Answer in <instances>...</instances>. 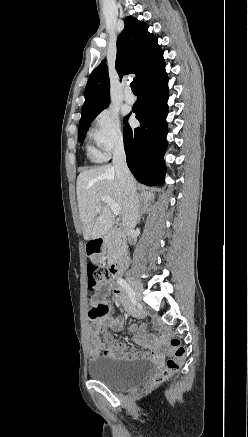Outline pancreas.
I'll return each mask as SVG.
<instances>
[{"mask_svg":"<svg viewBox=\"0 0 248 437\" xmlns=\"http://www.w3.org/2000/svg\"><path fill=\"white\" fill-rule=\"evenodd\" d=\"M109 259L120 255L125 250V244L121 236L112 233L107 240Z\"/></svg>","mask_w":248,"mask_h":437,"instance_id":"obj_1","label":"pancreas"}]
</instances>
